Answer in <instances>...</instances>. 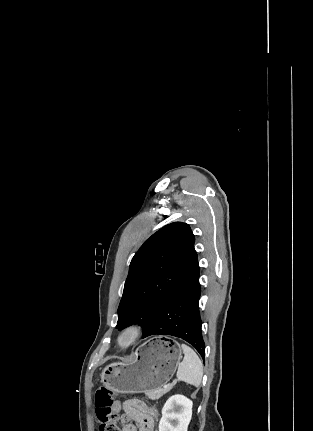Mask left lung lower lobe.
<instances>
[{"mask_svg": "<svg viewBox=\"0 0 313 431\" xmlns=\"http://www.w3.org/2000/svg\"><path fill=\"white\" fill-rule=\"evenodd\" d=\"M200 298L199 271L160 310L143 338L151 335H172L196 348L202 358L205 344L202 338L198 307Z\"/></svg>", "mask_w": 313, "mask_h": 431, "instance_id": "obj_1", "label": "left lung lower lobe"}]
</instances>
